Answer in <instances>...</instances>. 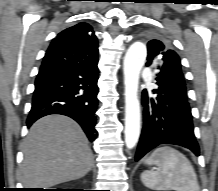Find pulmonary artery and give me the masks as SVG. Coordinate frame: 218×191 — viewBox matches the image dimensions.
<instances>
[{
    "instance_id": "1",
    "label": "pulmonary artery",
    "mask_w": 218,
    "mask_h": 191,
    "mask_svg": "<svg viewBox=\"0 0 218 191\" xmlns=\"http://www.w3.org/2000/svg\"><path fill=\"white\" fill-rule=\"evenodd\" d=\"M142 74H143V76H145V77H149V76L152 75V72H151L150 69H145Z\"/></svg>"
}]
</instances>
